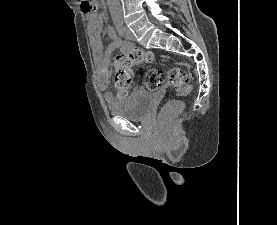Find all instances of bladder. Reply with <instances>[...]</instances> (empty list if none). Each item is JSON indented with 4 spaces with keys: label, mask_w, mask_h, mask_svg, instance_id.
I'll use <instances>...</instances> for the list:
<instances>
[{
    "label": "bladder",
    "mask_w": 277,
    "mask_h": 225,
    "mask_svg": "<svg viewBox=\"0 0 277 225\" xmlns=\"http://www.w3.org/2000/svg\"><path fill=\"white\" fill-rule=\"evenodd\" d=\"M152 93L136 89L124 99L116 100L108 107L111 115L121 116L131 121L145 120L153 108Z\"/></svg>",
    "instance_id": "obj_1"
}]
</instances>
